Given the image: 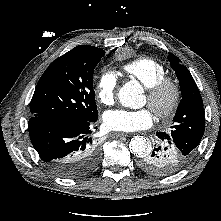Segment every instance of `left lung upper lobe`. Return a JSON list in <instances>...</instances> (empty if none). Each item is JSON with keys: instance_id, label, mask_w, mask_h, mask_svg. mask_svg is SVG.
I'll return each instance as SVG.
<instances>
[{"instance_id": "5c2ea615", "label": "left lung upper lobe", "mask_w": 221, "mask_h": 221, "mask_svg": "<svg viewBox=\"0 0 221 221\" xmlns=\"http://www.w3.org/2000/svg\"><path fill=\"white\" fill-rule=\"evenodd\" d=\"M168 60L179 79L182 99L169 134L184 155L192 158L205 130V112L199 89L179 58L169 53Z\"/></svg>"}]
</instances>
